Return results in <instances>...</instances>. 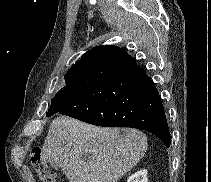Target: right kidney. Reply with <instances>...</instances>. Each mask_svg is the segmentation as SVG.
Wrapping results in <instances>:
<instances>
[{
  "label": "right kidney",
  "mask_w": 211,
  "mask_h": 182,
  "mask_svg": "<svg viewBox=\"0 0 211 182\" xmlns=\"http://www.w3.org/2000/svg\"><path fill=\"white\" fill-rule=\"evenodd\" d=\"M127 182H148L147 170H140L133 175H131Z\"/></svg>",
  "instance_id": "1"
}]
</instances>
